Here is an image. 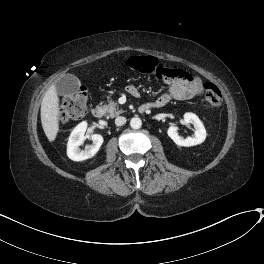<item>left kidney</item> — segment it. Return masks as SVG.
I'll use <instances>...</instances> for the list:
<instances>
[{
	"label": "left kidney",
	"mask_w": 264,
	"mask_h": 264,
	"mask_svg": "<svg viewBox=\"0 0 264 264\" xmlns=\"http://www.w3.org/2000/svg\"><path fill=\"white\" fill-rule=\"evenodd\" d=\"M184 124H193L194 126V135L192 137L183 138L178 134V128L175 125H171L168 128V136L179 146L189 147L201 144L206 139V130L203 123L194 113H185L182 120Z\"/></svg>",
	"instance_id": "1"
}]
</instances>
